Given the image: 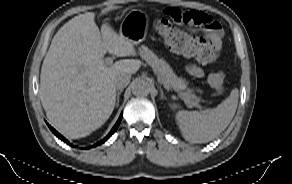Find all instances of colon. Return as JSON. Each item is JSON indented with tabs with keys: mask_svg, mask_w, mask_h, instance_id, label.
Masks as SVG:
<instances>
[{
	"mask_svg": "<svg viewBox=\"0 0 292 184\" xmlns=\"http://www.w3.org/2000/svg\"><path fill=\"white\" fill-rule=\"evenodd\" d=\"M176 25L188 28H211L214 23L208 15L198 11H181L170 8L163 18L155 21V28L165 44L172 50L193 56L202 63H210L217 59L219 50L213 43L187 35ZM207 81L218 94L224 92L225 75L223 72L209 73Z\"/></svg>",
	"mask_w": 292,
	"mask_h": 184,
	"instance_id": "obj_1",
	"label": "colon"
}]
</instances>
